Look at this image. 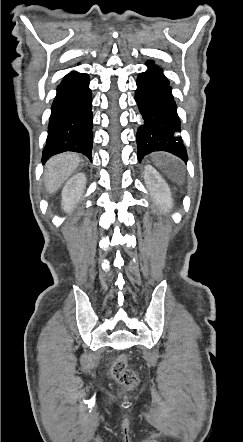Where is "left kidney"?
Listing matches in <instances>:
<instances>
[{"mask_svg": "<svg viewBox=\"0 0 243 442\" xmlns=\"http://www.w3.org/2000/svg\"><path fill=\"white\" fill-rule=\"evenodd\" d=\"M144 178L151 191L154 202L164 213L173 207V200L166 182L151 165L145 166Z\"/></svg>", "mask_w": 243, "mask_h": 442, "instance_id": "left-kidney-1", "label": "left kidney"}]
</instances>
